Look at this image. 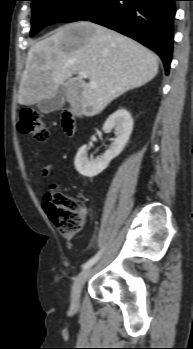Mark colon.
<instances>
[{
	"mask_svg": "<svg viewBox=\"0 0 193 349\" xmlns=\"http://www.w3.org/2000/svg\"><path fill=\"white\" fill-rule=\"evenodd\" d=\"M17 129L20 134L31 136L40 143L49 139V131L41 115L31 108L19 110ZM43 205L61 233L73 235L82 229L84 219L80 202L65 194L56 185H51L44 195Z\"/></svg>",
	"mask_w": 193,
	"mask_h": 349,
	"instance_id": "colon-1",
	"label": "colon"
}]
</instances>
